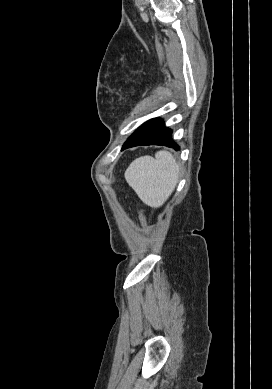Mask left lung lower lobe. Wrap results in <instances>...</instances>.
Wrapping results in <instances>:
<instances>
[{
    "instance_id": "1",
    "label": "left lung lower lobe",
    "mask_w": 272,
    "mask_h": 389,
    "mask_svg": "<svg viewBox=\"0 0 272 389\" xmlns=\"http://www.w3.org/2000/svg\"><path fill=\"white\" fill-rule=\"evenodd\" d=\"M172 131L165 127L159 118L148 120L142 124L124 143L122 150L139 145H162L179 149L171 138Z\"/></svg>"
}]
</instances>
